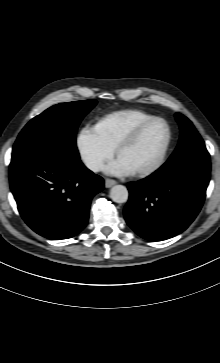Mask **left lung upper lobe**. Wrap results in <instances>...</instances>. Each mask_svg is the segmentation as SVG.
<instances>
[{
	"label": "left lung upper lobe",
	"instance_id": "left-lung-upper-lobe-1",
	"mask_svg": "<svg viewBox=\"0 0 220 363\" xmlns=\"http://www.w3.org/2000/svg\"><path fill=\"white\" fill-rule=\"evenodd\" d=\"M176 119L180 125L181 137L171 157L193 150L207 151L202 138L194 128L192 122L180 113H176Z\"/></svg>",
	"mask_w": 220,
	"mask_h": 363
}]
</instances>
